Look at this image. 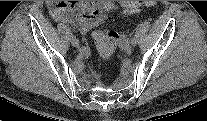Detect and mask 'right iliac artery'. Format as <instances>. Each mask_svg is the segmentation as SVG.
Returning a JSON list of instances; mask_svg holds the SVG:
<instances>
[{
  "instance_id": "82829eb1",
  "label": "right iliac artery",
  "mask_w": 207,
  "mask_h": 121,
  "mask_svg": "<svg viewBox=\"0 0 207 121\" xmlns=\"http://www.w3.org/2000/svg\"><path fill=\"white\" fill-rule=\"evenodd\" d=\"M81 50L82 51H86L87 50V47L86 46H83Z\"/></svg>"
}]
</instances>
